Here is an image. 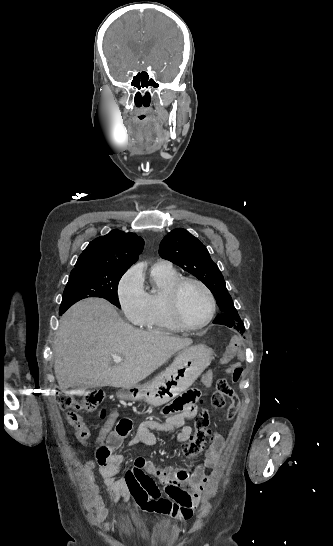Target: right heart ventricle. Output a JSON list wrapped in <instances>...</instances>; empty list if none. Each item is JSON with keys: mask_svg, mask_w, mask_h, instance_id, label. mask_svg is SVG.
Listing matches in <instances>:
<instances>
[{"mask_svg": "<svg viewBox=\"0 0 333 546\" xmlns=\"http://www.w3.org/2000/svg\"><path fill=\"white\" fill-rule=\"evenodd\" d=\"M180 275L172 267H152L149 286L144 290L147 312L142 326L149 331L173 333L180 329L170 319L166 309V296Z\"/></svg>", "mask_w": 333, "mask_h": 546, "instance_id": "1", "label": "right heart ventricle"}]
</instances>
